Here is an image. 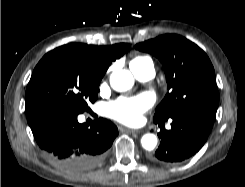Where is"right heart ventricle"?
<instances>
[{
  "label": "right heart ventricle",
  "mask_w": 245,
  "mask_h": 187,
  "mask_svg": "<svg viewBox=\"0 0 245 187\" xmlns=\"http://www.w3.org/2000/svg\"><path fill=\"white\" fill-rule=\"evenodd\" d=\"M149 61H152V60L148 56H143V55L136 56L130 61V68L139 67Z\"/></svg>",
  "instance_id": "1"
}]
</instances>
